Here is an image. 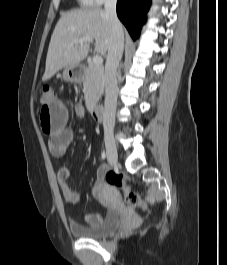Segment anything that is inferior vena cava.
Masks as SVG:
<instances>
[{
  "label": "inferior vena cava",
  "mask_w": 227,
  "mask_h": 265,
  "mask_svg": "<svg viewBox=\"0 0 227 265\" xmlns=\"http://www.w3.org/2000/svg\"><path fill=\"white\" fill-rule=\"evenodd\" d=\"M117 0H105V13L111 22V43L105 65L104 131L112 133L117 106V68L123 54L124 33L116 14Z\"/></svg>",
  "instance_id": "obj_1"
}]
</instances>
